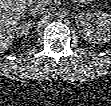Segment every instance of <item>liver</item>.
Masks as SVG:
<instances>
[{
    "label": "liver",
    "mask_w": 111,
    "mask_h": 106,
    "mask_svg": "<svg viewBox=\"0 0 111 106\" xmlns=\"http://www.w3.org/2000/svg\"><path fill=\"white\" fill-rule=\"evenodd\" d=\"M26 0L0 1V50L5 51L13 42V32L26 12Z\"/></svg>",
    "instance_id": "1"
}]
</instances>
